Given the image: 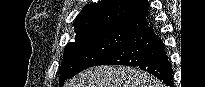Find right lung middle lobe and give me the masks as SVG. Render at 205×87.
Listing matches in <instances>:
<instances>
[{"label": "right lung middle lobe", "mask_w": 205, "mask_h": 87, "mask_svg": "<svg viewBox=\"0 0 205 87\" xmlns=\"http://www.w3.org/2000/svg\"><path fill=\"white\" fill-rule=\"evenodd\" d=\"M132 34L117 30H98L77 35L75 41L67 44L64 50L60 69V85L68 78L93 66Z\"/></svg>", "instance_id": "dd1d6c3e"}]
</instances>
